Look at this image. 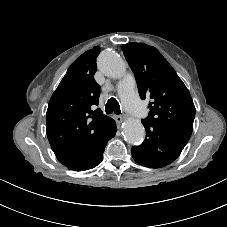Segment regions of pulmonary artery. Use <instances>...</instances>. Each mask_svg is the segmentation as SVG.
Instances as JSON below:
<instances>
[{
	"label": "pulmonary artery",
	"mask_w": 227,
	"mask_h": 227,
	"mask_svg": "<svg viewBox=\"0 0 227 227\" xmlns=\"http://www.w3.org/2000/svg\"><path fill=\"white\" fill-rule=\"evenodd\" d=\"M118 92L126 109L138 118L147 116L145 105L138 99L134 91V78L132 75H126L118 83Z\"/></svg>",
	"instance_id": "1"
}]
</instances>
